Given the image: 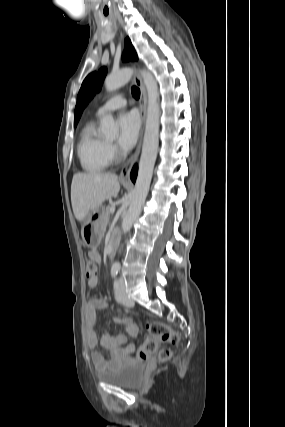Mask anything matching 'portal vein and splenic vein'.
<instances>
[{"instance_id": "1", "label": "portal vein and splenic vein", "mask_w": 285, "mask_h": 427, "mask_svg": "<svg viewBox=\"0 0 285 427\" xmlns=\"http://www.w3.org/2000/svg\"><path fill=\"white\" fill-rule=\"evenodd\" d=\"M115 212V207H111V209H110V213L112 214V213H114Z\"/></svg>"}]
</instances>
